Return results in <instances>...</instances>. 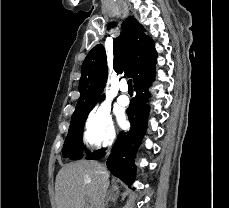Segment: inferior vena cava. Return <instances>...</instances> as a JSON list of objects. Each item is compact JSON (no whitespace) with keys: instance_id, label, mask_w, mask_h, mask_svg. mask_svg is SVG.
Returning <instances> with one entry per match:
<instances>
[{"instance_id":"obj_1","label":"inferior vena cava","mask_w":229,"mask_h":208,"mask_svg":"<svg viewBox=\"0 0 229 208\" xmlns=\"http://www.w3.org/2000/svg\"><path fill=\"white\" fill-rule=\"evenodd\" d=\"M103 174H105V176H108L107 172H103ZM107 188H108V182H105V184H103V188H102L103 192L101 194V200L99 202V204H100L99 208H105L104 200H105Z\"/></svg>"}]
</instances>
